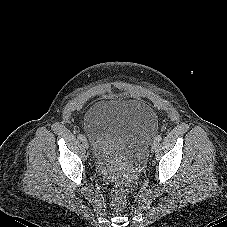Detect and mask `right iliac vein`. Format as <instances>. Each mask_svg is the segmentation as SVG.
I'll list each match as a JSON object with an SVG mask.
<instances>
[{
  "label": "right iliac vein",
  "mask_w": 227,
  "mask_h": 227,
  "mask_svg": "<svg viewBox=\"0 0 227 227\" xmlns=\"http://www.w3.org/2000/svg\"><path fill=\"white\" fill-rule=\"evenodd\" d=\"M82 145H83V147H84L85 149H88V141H87L86 138H83V140H82Z\"/></svg>",
  "instance_id": "63e3f726"
}]
</instances>
